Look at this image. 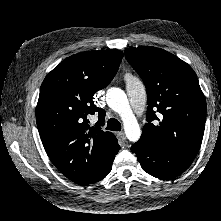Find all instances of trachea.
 Wrapping results in <instances>:
<instances>
[{"mask_svg":"<svg viewBox=\"0 0 221 221\" xmlns=\"http://www.w3.org/2000/svg\"><path fill=\"white\" fill-rule=\"evenodd\" d=\"M106 129L111 131H120L121 123L115 118H110L107 122Z\"/></svg>","mask_w":221,"mask_h":221,"instance_id":"1","label":"trachea"}]
</instances>
